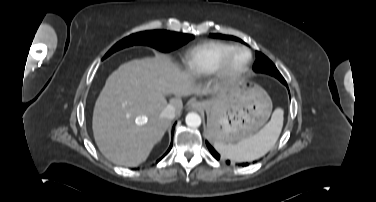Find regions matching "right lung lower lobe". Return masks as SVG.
I'll use <instances>...</instances> for the list:
<instances>
[{"label":"right lung lower lobe","instance_id":"98d812e1","mask_svg":"<svg viewBox=\"0 0 376 202\" xmlns=\"http://www.w3.org/2000/svg\"><path fill=\"white\" fill-rule=\"evenodd\" d=\"M172 134H173V130H172ZM172 143H173V139H172V141H171V145H170V147H169V149H168V151L164 154V156L171 150V148H172ZM163 156V157H164ZM161 160V158L158 160V161H160ZM157 161V162H158Z\"/></svg>","mask_w":376,"mask_h":202}]
</instances>
